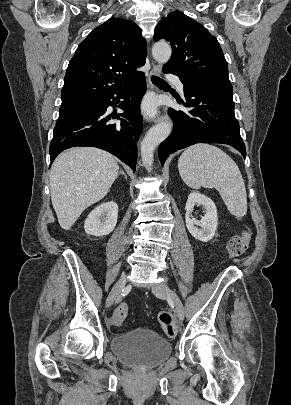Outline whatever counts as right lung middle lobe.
<instances>
[{
	"label": "right lung middle lobe",
	"instance_id": "dd1d6c3e",
	"mask_svg": "<svg viewBox=\"0 0 291 405\" xmlns=\"http://www.w3.org/2000/svg\"><path fill=\"white\" fill-rule=\"evenodd\" d=\"M98 105L97 100L74 101L62 103L59 111L57 124L63 123L81 113L95 108Z\"/></svg>",
	"mask_w": 291,
	"mask_h": 405
}]
</instances>
